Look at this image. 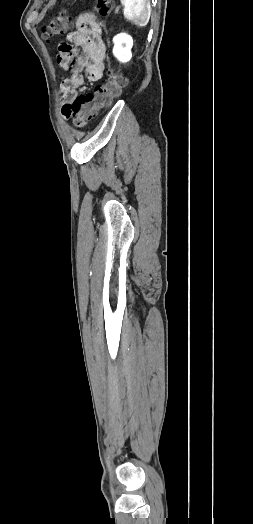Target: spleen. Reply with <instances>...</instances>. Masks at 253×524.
Segmentation results:
<instances>
[{"label": "spleen", "instance_id": "3e777b00", "mask_svg": "<svg viewBox=\"0 0 253 524\" xmlns=\"http://www.w3.org/2000/svg\"><path fill=\"white\" fill-rule=\"evenodd\" d=\"M124 5V17L137 25L144 27L147 25L151 15V8L148 0H120Z\"/></svg>", "mask_w": 253, "mask_h": 524}]
</instances>
